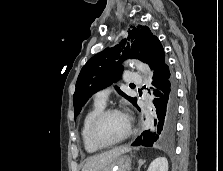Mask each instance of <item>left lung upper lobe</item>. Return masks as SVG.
Segmentation results:
<instances>
[{
    "label": "left lung upper lobe",
    "mask_w": 223,
    "mask_h": 171,
    "mask_svg": "<svg viewBox=\"0 0 223 171\" xmlns=\"http://www.w3.org/2000/svg\"><path fill=\"white\" fill-rule=\"evenodd\" d=\"M132 28L128 32L127 39L94 55L81 69L73 96L75 118L94 93L111 85L120 77L123 70L122 61L136 58L147 62L154 44L159 39L151 33L147 26L138 25ZM117 91L136 105V98L127 96L119 88Z\"/></svg>",
    "instance_id": "5c2ea615"
}]
</instances>
